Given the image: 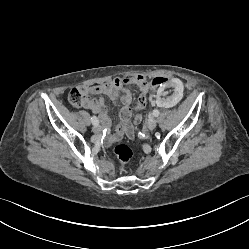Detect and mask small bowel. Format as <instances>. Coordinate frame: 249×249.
Instances as JSON below:
<instances>
[{
  "mask_svg": "<svg viewBox=\"0 0 249 249\" xmlns=\"http://www.w3.org/2000/svg\"><path fill=\"white\" fill-rule=\"evenodd\" d=\"M130 84L136 85L140 89L141 94L145 95H147L148 92L154 87L146 77L137 75L128 78L117 76L106 83L93 86H81L78 88L86 96L83 106L98 115L104 127H108L110 125V119L108 117L106 106L102 99L92 98L91 95H106L113 102V104L121 106L120 122L115 132L106 137V141L108 143L118 140L124 133L129 136H133V126L130 123V104L132 102L133 90L128 87Z\"/></svg>",
  "mask_w": 249,
  "mask_h": 249,
  "instance_id": "obj_1",
  "label": "small bowel"
}]
</instances>
